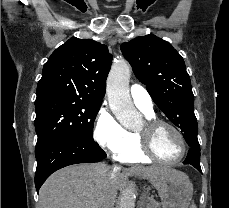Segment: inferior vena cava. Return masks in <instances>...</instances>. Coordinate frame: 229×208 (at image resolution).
<instances>
[{
    "label": "inferior vena cava",
    "instance_id": "obj_1",
    "mask_svg": "<svg viewBox=\"0 0 229 208\" xmlns=\"http://www.w3.org/2000/svg\"><path fill=\"white\" fill-rule=\"evenodd\" d=\"M114 172H117V168H114Z\"/></svg>",
    "mask_w": 229,
    "mask_h": 208
}]
</instances>
